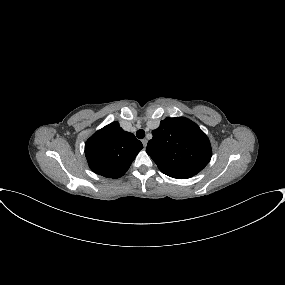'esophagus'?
I'll use <instances>...</instances> for the list:
<instances>
[{"mask_svg":"<svg viewBox=\"0 0 285 285\" xmlns=\"http://www.w3.org/2000/svg\"><path fill=\"white\" fill-rule=\"evenodd\" d=\"M142 143H143L144 148H146V146H147V139H143Z\"/></svg>","mask_w":285,"mask_h":285,"instance_id":"obj_1","label":"esophagus"}]
</instances>
